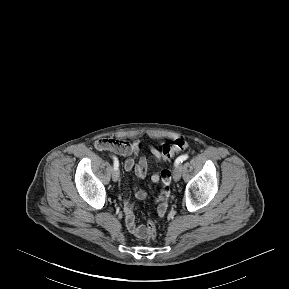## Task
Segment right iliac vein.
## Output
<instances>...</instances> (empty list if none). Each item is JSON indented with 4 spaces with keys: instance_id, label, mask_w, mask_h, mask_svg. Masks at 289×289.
<instances>
[{
    "instance_id": "obj_1",
    "label": "right iliac vein",
    "mask_w": 289,
    "mask_h": 289,
    "mask_svg": "<svg viewBox=\"0 0 289 289\" xmlns=\"http://www.w3.org/2000/svg\"><path fill=\"white\" fill-rule=\"evenodd\" d=\"M119 170L117 169V170H113V172H112V179H113V181H118V179H119Z\"/></svg>"
}]
</instances>
